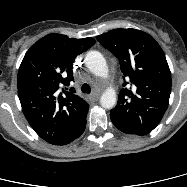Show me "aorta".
<instances>
[{
    "label": "aorta",
    "mask_w": 187,
    "mask_h": 187,
    "mask_svg": "<svg viewBox=\"0 0 187 187\" xmlns=\"http://www.w3.org/2000/svg\"><path fill=\"white\" fill-rule=\"evenodd\" d=\"M86 67L96 76L106 77L108 66L103 55L98 51H89L84 59ZM117 102L116 92L113 88H108L100 98V104L105 109H112Z\"/></svg>",
    "instance_id": "762f6f07"
}]
</instances>
